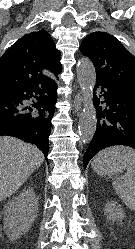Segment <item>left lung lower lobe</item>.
Returning <instances> with one entry per match:
<instances>
[{
	"mask_svg": "<svg viewBox=\"0 0 135 249\" xmlns=\"http://www.w3.org/2000/svg\"><path fill=\"white\" fill-rule=\"evenodd\" d=\"M94 91L97 127L84 154V168L106 147L126 145L135 148V92L101 82H96Z\"/></svg>",
	"mask_w": 135,
	"mask_h": 249,
	"instance_id": "left-lung-lower-lobe-1",
	"label": "left lung lower lobe"
}]
</instances>
